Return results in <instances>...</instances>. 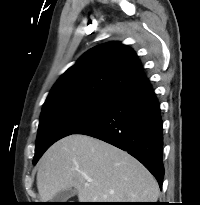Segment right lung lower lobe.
I'll use <instances>...</instances> for the list:
<instances>
[{
	"instance_id": "obj_1",
	"label": "right lung lower lobe",
	"mask_w": 200,
	"mask_h": 205,
	"mask_svg": "<svg viewBox=\"0 0 200 205\" xmlns=\"http://www.w3.org/2000/svg\"><path fill=\"white\" fill-rule=\"evenodd\" d=\"M160 105L148 79L125 90L97 119L73 134L89 135L139 160L157 179L164 178Z\"/></svg>"
}]
</instances>
